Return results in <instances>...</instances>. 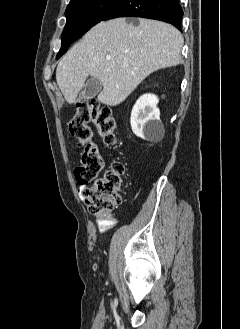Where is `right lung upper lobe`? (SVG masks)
<instances>
[{
	"mask_svg": "<svg viewBox=\"0 0 240 329\" xmlns=\"http://www.w3.org/2000/svg\"><path fill=\"white\" fill-rule=\"evenodd\" d=\"M73 1H75V0H70V2H73Z\"/></svg>",
	"mask_w": 240,
	"mask_h": 329,
	"instance_id": "obj_1",
	"label": "right lung upper lobe"
}]
</instances>
